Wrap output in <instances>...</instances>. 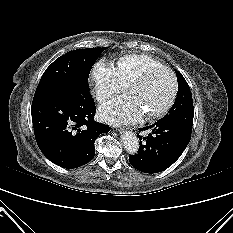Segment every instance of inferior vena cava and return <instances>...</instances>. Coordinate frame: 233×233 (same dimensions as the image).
<instances>
[{
	"label": "inferior vena cava",
	"instance_id": "602c4592",
	"mask_svg": "<svg viewBox=\"0 0 233 233\" xmlns=\"http://www.w3.org/2000/svg\"><path fill=\"white\" fill-rule=\"evenodd\" d=\"M96 96H97V99H98V100H102V99H104V98L106 97L105 94H98V95H96Z\"/></svg>",
	"mask_w": 233,
	"mask_h": 233
}]
</instances>
